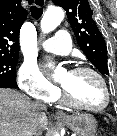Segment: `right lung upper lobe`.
<instances>
[{
	"mask_svg": "<svg viewBox=\"0 0 117 136\" xmlns=\"http://www.w3.org/2000/svg\"><path fill=\"white\" fill-rule=\"evenodd\" d=\"M26 18L21 0H0V57H19L18 36Z\"/></svg>",
	"mask_w": 117,
	"mask_h": 136,
	"instance_id": "obj_1",
	"label": "right lung upper lobe"
}]
</instances>
